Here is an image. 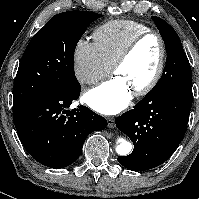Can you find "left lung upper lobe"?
Returning <instances> with one entry per match:
<instances>
[{"instance_id":"obj_1","label":"left lung upper lobe","mask_w":199,"mask_h":199,"mask_svg":"<svg viewBox=\"0 0 199 199\" xmlns=\"http://www.w3.org/2000/svg\"><path fill=\"white\" fill-rule=\"evenodd\" d=\"M152 19L164 40L167 63L162 77L146 96H160L175 89H192L191 67L178 34L161 18L153 16Z\"/></svg>"}]
</instances>
